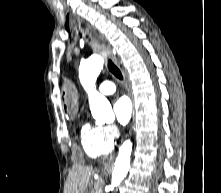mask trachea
Listing matches in <instances>:
<instances>
[{
    "mask_svg": "<svg viewBox=\"0 0 221 193\" xmlns=\"http://www.w3.org/2000/svg\"><path fill=\"white\" fill-rule=\"evenodd\" d=\"M108 69L109 71L114 74V76L120 80L123 79L121 71L114 65L111 60H108Z\"/></svg>",
    "mask_w": 221,
    "mask_h": 193,
    "instance_id": "3493384b",
    "label": "trachea"
}]
</instances>
